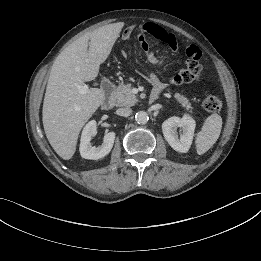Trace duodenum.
<instances>
[{
    "label": "duodenum",
    "instance_id": "duodenum-1",
    "mask_svg": "<svg viewBox=\"0 0 261 261\" xmlns=\"http://www.w3.org/2000/svg\"><path fill=\"white\" fill-rule=\"evenodd\" d=\"M114 84L113 82L108 79L105 78L102 82V91L105 95V98L102 102V108L105 110L111 109L114 106V96H113V92H114ZM158 94L157 92H153L150 96V101L153 102L158 98Z\"/></svg>",
    "mask_w": 261,
    "mask_h": 261
}]
</instances>
